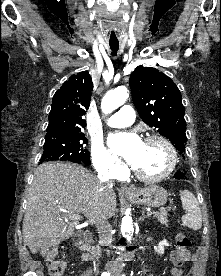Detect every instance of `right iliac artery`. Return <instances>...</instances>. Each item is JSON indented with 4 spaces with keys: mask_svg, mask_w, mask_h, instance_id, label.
Segmentation results:
<instances>
[{
    "mask_svg": "<svg viewBox=\"0 0 221 276\" xmlns=\"http://www.w3.org/2000/svg\"><path fill=\"white\" fill-rule=\"evenodd\" d=\"M101 276H110V273L104 272Z\"/></svg>",
    "mask_w": 221,
    "mask_h": 276,
    "instance_id": "82829eb1",
    "label": "right iliac artery"
}]
</instances>
